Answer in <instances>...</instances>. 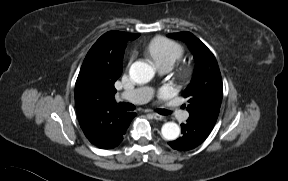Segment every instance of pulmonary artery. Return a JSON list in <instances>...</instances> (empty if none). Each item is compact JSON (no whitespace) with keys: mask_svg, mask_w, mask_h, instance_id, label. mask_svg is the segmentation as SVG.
<instances>
[{"mask_svg":"<svg viewBox=\"0 0 288 181\" xmlns=\"http://www.w3.org/2000/svg\"><path fill=\"white\" fill-rule=\"evenodd\" d=\"M172 68L169 64H161L157 66L160 73H167ZM154 91L151 87H141L133 90L125 91L122 94V98L128 100L131 103L140 104L149 101L153 97ZM168 110L172 112L174 117L178 119H187L188 114L181 112L176 106L169 107Z\"/></svg>","mask_w":288,"mask_h":181,"instance_id":"obj_1","label":"pulmonary artery"}]
</instances>
